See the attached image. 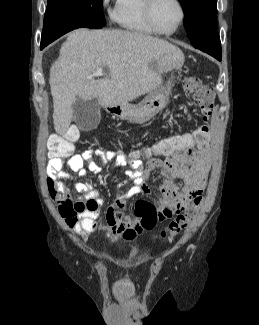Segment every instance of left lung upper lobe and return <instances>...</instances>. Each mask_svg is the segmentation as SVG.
Returning <instances> with one entry per match:
<instances>
[{
	"mask_svg": "<svg viewBox=\"0 0 259 325\" xmlns=\"http://www.w3.org/2000/svg\"><path fill=\"white\" fill-rule=\"evenodd\" d=\"M184 14V27L190 41L198 48L221 60V43L217 30V0H179Z\"/></svg>",
	"mask_w": 259,
	"mask_h": 325,
	"instance_id": "obj_1",
	"label": "left lung upper lobe"
}]
</instances>
